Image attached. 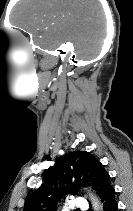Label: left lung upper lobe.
I'll return each instance as SVG.
<instances>
[{"instance_id":"5c2ea615","label":"left lung upper lobe","mask_w":133,"mask_h":211,"mask_svg":"<svg viewBox=\"0 0 133 211\" xmlns=\"http://www.w3.org/2000/svg\"><path fill=\"white\" fill-rule=\"evenodd\" d=\"M45 177V182L27 197L23 211H56L57 202L66 194L75 195L80 187L91 186L101 196L111 186L104 166L86 151L59 157Z\"/></svg>"}]
</instances>
